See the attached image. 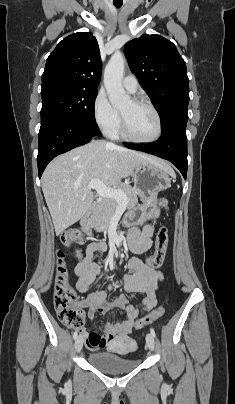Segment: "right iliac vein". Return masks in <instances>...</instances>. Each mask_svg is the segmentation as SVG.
<instances>
[{
	"instance_id": "63e3f726",
	"label": "right iliac vein",
	"mask_w": 235,
	"mask_h": 404,
	"mask_svg": "<svg viewBox=\"0 0 235 404\" xmlns=\"http://www.w3.org/2000/svg\"><path fill=\"white\" fill-rule=\"evenodd\" d=\"M83 347V338L82 336H78L76 341H75V348L77 352H80Z\"/></svg>"
}]
</instances>
